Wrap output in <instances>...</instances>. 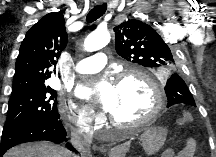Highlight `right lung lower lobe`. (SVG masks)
Instances as JSON below:
<instances>
[{"instance_id":"obj_1","label":"right lung lower lobe","mask_w":216,"mask_h":157,"mask_svg":"<svg viewBox=\"0 0 216 157\" xmlns=\"http://www.w3.org/2000/svg\"><path fill=\"white\" fill-rule=\"evenodd\" d=\"M67 132L61 120L38 121L2 134L0 157L13 146L21 143L47 140L60 143L66 140Z\"/></svg>"}]
</instances>
